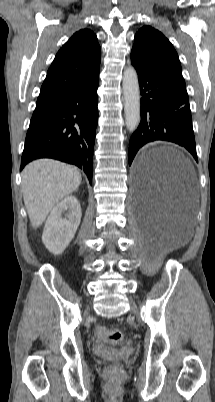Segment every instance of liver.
I'll use <instances>...</instances> for the list:
<instances>
[{"mask_svg":"<svg viewBox=\"0 0 215 402\" xmlns=\"http://www.w3.org/2000/svg\"><path fill=\"white\" fill-rule=\"evenodd\" d=\"M79 170L71 165L40 159L22 171L24 204L33 228H38L49 212L81 184Z\"/></svg>","mask_w":215,"mask_h":402,"instance_id":"liver-1","label":"liver"}]
</instances>
